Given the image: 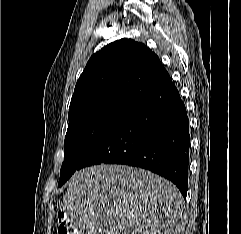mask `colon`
Masks as SVG:
<instances>
[{
	"instance_id": "5ec220e1",
	"label": "colon",
	"mask_w": 241,
	"mask_h": 234,
	"mask_svg": "<svg viewBox=\"0 0 241 234\" xmlns=\"http://www.w3.org/2000/svg\"><path fill=\"white\" fill-rule=\"evenodd\" d=\"M57 233L58 234H75L71 223L66 214L60 212L57 216Z\"/></svg>"
}]
</instances>
